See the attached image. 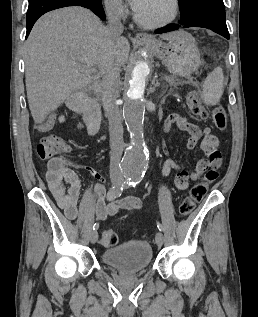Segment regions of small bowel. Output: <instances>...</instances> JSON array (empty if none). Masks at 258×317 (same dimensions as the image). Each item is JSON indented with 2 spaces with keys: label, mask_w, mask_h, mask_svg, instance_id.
I'll return each mask as SVG.
<instances>
[{
  "label": "small bowel",
  "mask_w": 258,
  "mask_h": 317,
  "mask_svg": "<svg viewBox=\"0 0 258 317\" xmlns=\"http://www.w3.org/2000/svg\"><path fill=\"white\" fill-rule=\"evenodd\" d=\"M82 122H78L80 127H85L89 135H95L100 126V110L91 100L83 102L79 112ZM64 121V117L59 118ZM57 118L49 116L38 125L40 132H47L53 128ZM188 132L189 138L186 143L188 149H193L200 141L201 148L206 157L199 160L192 171L187 170L182 164L173 160L166 159L163 167V176H168L172 171H176L174 186L179 190L188 187L189 181H197L203 172L210 168H218L222 163V155L218 138L213 135L209 127L201 130L197 125L192 123L186 116L181 114H171L164 123V131L169 132L172 125ZM93 175L100 177L99 173L93 171ZM48 187L55 198L57 204L63 209L69 219H76L79 213V203L81 198L80 182L76 172L71 169L67 162L60 157H54L48 162L46 174ZM105 186L96 184L87 203V210L92 212L99 220H105L108 216H114L122 211L133 212L138 210L142 203L138 197L128 196L126 198L105 203Z\"/></svg>",
  "instance_id": "small-bowel-1"
}]
</instances>
